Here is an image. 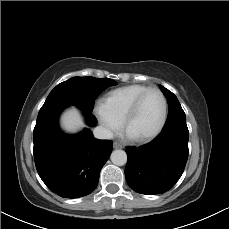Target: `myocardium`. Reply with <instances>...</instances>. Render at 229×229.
Wrapping results in <instances>:
<instances>
[{
    "label": "myocardium",
    "instance_id": "1",
    "mask_svg": "<svg viewBox=\"0 0 229 229\" xmlns=\"http://www.w3.org/2000/svg\"><path fill=\"white\" fill-rule=\"evenodd\" d=\"M151 92H157L161 98H162V102H163V111H162V117L160 120V123L158 124V126L156 127L155 130H153L152 132L143 135V136H132L129 135L127 132V128L129 123L131 122V120L133 119L135 113L138 110V107L141 103V101L144 99V97L151 93ZM167 116H168V103H167V99L165 97V95L163 94V92L158 89V88H149L146 91L142 92L141 94H139L131 103V105L129 106L123 121H122V134L125 138H127L128 140L132 141V142H139V143H143V142H148L151 141L153 139H155L164 129L166 121H167Z\"/></svg>",
    "mask_w": 229,
    "mask_h": 229
}]
</instances>
